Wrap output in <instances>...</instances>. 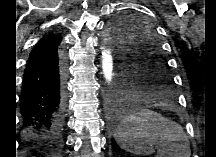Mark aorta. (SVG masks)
Returning a JSON list of instances; mask_svg holds the SVG:
<instances>
[{
    "label": "aorta",
    "mask_w": 216,
    "mask_h": 157,
    "mask_svg": "<svg viewBox=\"0 0 216 157\" xmlns=\"http://www.w3.org/2000/svg\"><path fill=\"white\" fill-rule=\"evenodd\" d=\"M102 72L105 80L110 83L114 77V66H113V57L109 48L102 49Z\"/></svg>",
    "instance_id": "762f6f07"
}]
</instances>
